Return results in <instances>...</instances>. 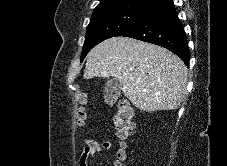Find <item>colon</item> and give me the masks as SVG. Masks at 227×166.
I'll return each mask as SVG.
<instances>
[{
    "label": "colon",
    "instance_id": "colon-1",
    "mask_svg": "<svg viewBox=\"0 0 227 166\" xmlns=\"http://www.w3.org/2000/svg\"><path fill=\"white\" fill-rule=\"evenodd\" d=\"M86 98L82 97L81 103L83 107H81L78 113V125L84 126L88 119L89 114L87 109L84 107L86 105ZM114 126L116 129L117 137L121 142V147L117 151L118 161L115 163V166H121V161L126 157V147L125 143L130 137L133 129V110L131 105L127 101H121L117 107L116 115L114 117Z\"/></svg>",
    "mask_w": 227,
    "mask_h": 166
}]
</instances>
